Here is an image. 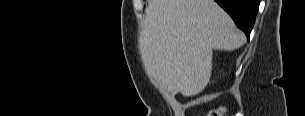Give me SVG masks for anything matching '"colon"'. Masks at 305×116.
Masks as SVG:
<instances>
[{
  "mask_svg": "<svg viewBox=\"0 0 305 116\" xmlns=\"http://www.w3.org/2000/svg\"><path fill=\"white\" fill-rule=\"evenodd\" d=\"M224 108H216L211 110L207 116H223Z\"/></svg>",
  "mask_w": 305,
  "mask_h": 116,
  "instance_id": "5ec220e1",
  "label": "colon"
}]
</instances>
